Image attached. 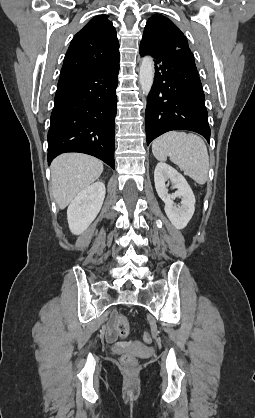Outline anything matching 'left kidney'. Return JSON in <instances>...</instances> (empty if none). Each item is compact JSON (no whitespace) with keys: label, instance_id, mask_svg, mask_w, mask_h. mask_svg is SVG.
Returning a JSON list of instances; mask_svg holds the SVG:
<instances>
[{"label":"left kidney","instance_id":"5707ae66","mask_svg":"<svg viewBox=\"0 0 255 418\" xmlns=\"http://www.w3.org/2000/svg\"><path fill=\"white\" fill-rule=\"evenodd\" d=\"M170 180L177 191L170 194L166 181ZM154 182L158 196L165 203V213L177 229L187 226L195 211V196L186 179L170 165L160 162L154 171ZM181 198V205H174L173 199Z\"/></svg>","mask_w":255,"mask_h":418}]
</instances>
